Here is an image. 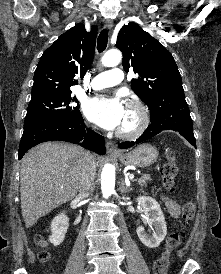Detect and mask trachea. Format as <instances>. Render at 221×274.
I'll use <instances>...</instances> for the list:
<instances>
[{
	"label": "trachea",
	"mask_w": 221,
	"mask_h": 274,
	"mask_svg": "<svg viewBox=\"0 0 221 274\" xmlns=\"http://www.w3.org/2000/svg\"><path fill=\"white\" fill-rule=\"evenodd\" d=\"M107 43H108V31L104 29L100 32L97 40V49L99 53L103 52L106 49Z\"/></svg>",
	"instance_id": "trachea-1"
}]
</instances>
